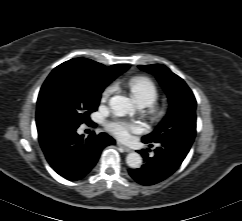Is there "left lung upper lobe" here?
I'll use <instances>...</instances> for the list:
<instances>
[{"label":"left lung upper lobe","instance_id":"1","mask_svg":"<svg viewBox=\"0 0 242 221\" xmlns=\"http://www.w3.org/2000/svg\"><path fill=\"white\" fill-rule=\"evenodd\" d=\"M139 68L154 74L169 98L166 118L152 133L143 136L142 141H176L191 146L196 134V100L192 91L183 79L164 65H139Z\"/></svg>","mask_w":242,"mask_h":221}]
</instances>
